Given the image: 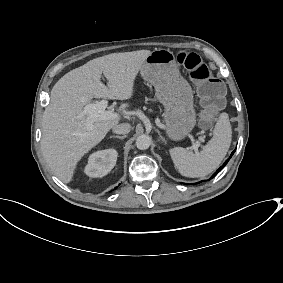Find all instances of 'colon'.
Returning <instances> with one entry per match:
<instances>
[{"label":"colon","mask_w":283,"mask_h":283,"mask_svg":"<svg viewBox=\"0 0 283 283\" xmlns=\"http://www.w3.org/2000/svg\"><path fill=\"white\" fill-rule=\"evenodd\" d=\"M177 60L197 86L201 99L200 122L203 126H208L223 107L224 86L219 79L214 77L210 68L196 53H179Z\"/></svg>","instance_id":"obj_1"}]
</instances>
